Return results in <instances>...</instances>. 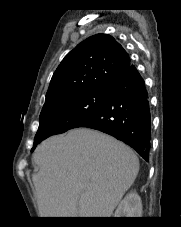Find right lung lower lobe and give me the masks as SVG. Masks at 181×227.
Listing matches in <instances>:
<instances>
[{
	"mask_svg": "<svg viewBox=\"0 0 181 227\" xmlns=\"http://www.w3.org/2000/svg\"><path fill=\"white\" fill-rule=\"evenodd\" d=\"M80 127L107 133L131 146L144 160H149L150 104L144 80L134 66L110 85L104 106Z\"/></svg>",
	"mask_w": 181,
	"mask_h": 227,
	"instance_id": "obj_1",
	"label": "right lung lower lobe"
}]
</instances>
